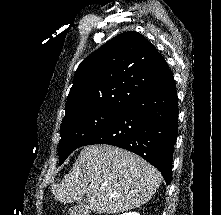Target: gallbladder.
Returning <instances> with one entry per match:
<instances>
[{
  "label": "gallbladder",
  "instance_id": "1",
  "mask_svg": "<svg viewBox=\"0 0 221 215\" xmlns=\"http://www.w3.org/2000/svg\"><path fill=\"white\" fill-rule=\"evenodd\" d=\"M85 202H86V198H84V197L79 200V203H80V204H84Z\"/></svg>",
  "mask_w": 221,
  "mask_h": 215
}]
</instances>
